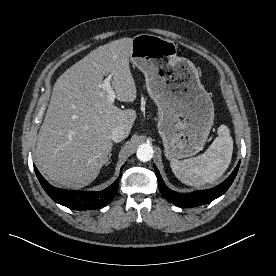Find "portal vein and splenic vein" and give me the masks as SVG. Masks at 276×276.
I'll use <instances>...</instances> for the list:
<instances>
[{"mask_svg":"<svg viewBox=\"0 0 276 276\" xmlns=\"http://www.w3.org/2000/svg\"><path fill=\"white\" fill-rule=\"evenodd\" d=\"M111 78H112V75H109L107 78L104 79V82L102 83V88L107 92L108 101L110 103H114L116 98V93L111 87Z\"/></svg>","mask_w":276,"mask_h":276,"instance_id":"18ae733b","label":"portal vein and splenic vein"}]
</instances>
